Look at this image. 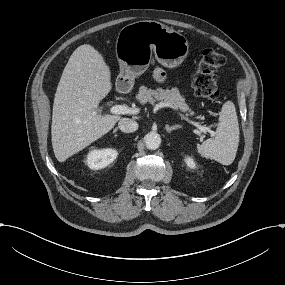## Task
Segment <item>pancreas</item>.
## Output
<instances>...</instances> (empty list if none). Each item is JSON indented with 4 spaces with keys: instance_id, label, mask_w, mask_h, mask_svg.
<instances>
[{
    "instance_id": "1",
    "label": "pancreas",
    "mask_w": 285,
    "mask_h": 285,
    "mask_svg": "<svg viewBox=\"0 0 285 285\" xmlns=\"http://www.w3.org/2000/svg\"><path fill=\"white\" fill-rule=\"evenodd\" d=\"M136 99L141 104L149 102L154 105L156 101L165 102L173 106L174 109H179L181 112H189L190 116L194 115V112L189 109V106L185 102V98L181 96L178 88L156 90L148 89L145 86L139 87V92L136 95Z\"/></svg>"
}]
</instances>
